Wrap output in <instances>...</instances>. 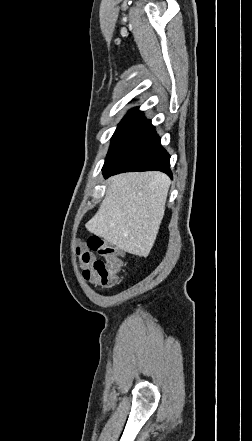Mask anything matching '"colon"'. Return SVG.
<instances>
[{
  "mask_svg": "<svg viewBox=\"0 0 252 441\" xmlns=\"http://www.w3.org/2000/svg\"><path fill=\"white\" fill-rule=\"evenodd\" d=\"M77 254L84 279L95 285H115L125 267L122 251L95 235L78 247Z\"/></svg>",
  "mask_w": 252,
  "mask_h": 441,
  "instance_id": "5ec220e1",
  "label": "colon"
}]
</instances>
